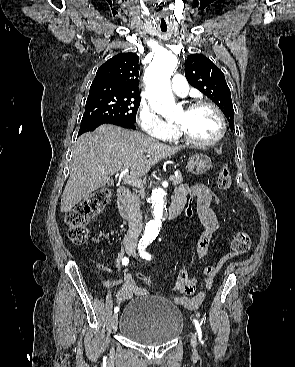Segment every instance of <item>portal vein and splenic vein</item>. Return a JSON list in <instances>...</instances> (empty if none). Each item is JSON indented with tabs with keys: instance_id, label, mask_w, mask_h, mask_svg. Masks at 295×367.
<instances>
[{
	"instance_id": "1",
	"label": "portal vein and splenic vein",
	"mask_w": 295,
	"mask_h": 367,
	"mask_svg": "<svg viewBox=\"0 0 295 367\" xmlns=\"http://www.w3.org/2000/svg\"><path fill=\"white\" fill-rule=\"evenodd\" d=\"M120 176L123 178V180L130 185H134V186H138L141 187L142 186V182L141 180H139L138 178L131 176L128 174V169L122 170V172L120 173ZM174 176L171 175L170 176V180H173Z\"/></svg>"
}]
</instances>
